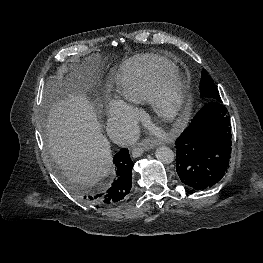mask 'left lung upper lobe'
<instances>
[{"instance_id":"1","label":"left lung upper lobe","mask_w":263,"mask_h":263,"mask_svg":"<svg viewBox=\"0 0 263 263\" xmlns=\"http://www.w3.org/2000/svg\"><path fill=\"white\" fill-rule=\"evenodd\" d=\"M199 90H200V94L203 97H207L211 101L222 102L216 85L214 84L213 80L205 70H203L201 74V82H200Z\"/></svg>"}]
</instances>
